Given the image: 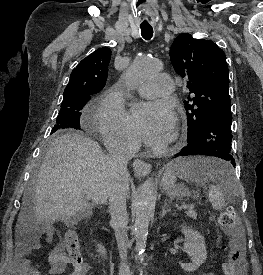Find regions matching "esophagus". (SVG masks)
Returning a JSON list of instances; mask_svg holds the SVG:
<instances>
[{
  "instance_id": "obj_1",
  "label": "esophagus",
  "mask_w": 263,
  "mask_h": 275,
  "mask_svg": "<svg viewBox=\"0 0 263 275\" xmlns=\"http://www.w3.org/2000/svg\"><path fill=\"white\" fill-rule=\"evenodd\" d=\"M151 164L144 162L141 159H136L133 162L134 172L139 176H145L151 171Z\"/></svg>"
}]
</instances>
